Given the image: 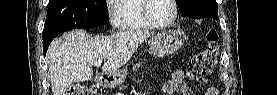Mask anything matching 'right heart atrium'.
Instances as JSON below:
<instances>
[{"label": "right heart atrium", "instance_id": "1", "mask_svg": "<svg viewBox=\"0 0 277 95\" xmlns=\"http://www.w3.org/2000/svg\"><path fill=\"white\" fill-rule=\"evenodd\" d=\"M108 16L111 24L116 26V14L112 9H108Z\"/></svg>", "mask_w": 277, "mask_h": 95}]
</instances>
